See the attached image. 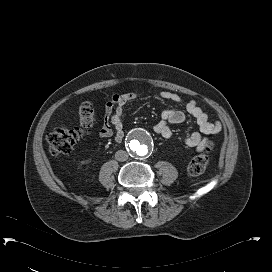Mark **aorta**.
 <instances>
[{
  "instance_id": "obj_1",
  "label": "aorta",
  "mask_w": 272,
  "mask_h": 272,
  "mask_svg": "<svg viewBox=\"0 0 272 272\" xmlns=\"http://www.w3.org/2000/svg\"><path fill=\"white\" fill-rule=\"evenodd\" d=\"M153 147V139L145 129H134L127 142L129 153L135 158L146 157Z\"/></svg>"
}]
</instances>
